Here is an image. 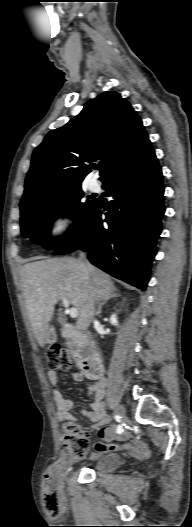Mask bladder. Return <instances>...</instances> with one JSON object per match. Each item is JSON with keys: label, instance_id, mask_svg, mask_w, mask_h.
Segmentation results:
<instances>
[{"label": "bladder", "instance_id": "31cf9c89", "mask_svg": "<svg viewBox=\"0 0 192 527\" xmlns=\"http://www.w3.org/2000/svg\"><path fill=\"white\" fill-rule=\"evenodd\" d=\"M122 463L117 453L106 452L98 455L93 462V470L97 473H107L116 470Z\"/></svg>", "mask_w": 192, "mask_h": 527}]
</instances>
